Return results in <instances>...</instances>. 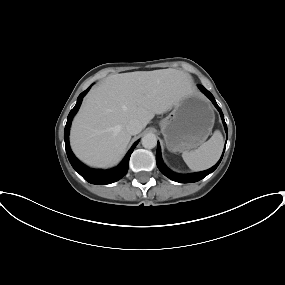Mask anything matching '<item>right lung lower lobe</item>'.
Listing matches in <instances>:
<instances>
[{"mask_svg":"<svg viewBox=\"0 0 285 285\" xmlns=\"http://www.w3.org/2000/svg\"><path fill=\"white\" fill-rule=\"evenodd\" d=\"M90 87L82 92L78 99L75 107L70 111L68 117H67V123L65 126L64 131V140H65V149L68 156V159L72 165V167L89 183L92 184H110L113 182L118 181L123 176L126 175L128 168H129V159L131 156V153L133 152L135 146L138 144V141L132 146V148L129 150L123 161L118 165L116 168H113L111 170H95L90 169L84 164H82L72 153L69 145V130L71 121L78 111L83 97L86 95V93L89 91Z\"/></svg>","mask_w":285,"mask_h":285,"instance_id":"1","label":"right lung lower lobe"}]
</instances>
